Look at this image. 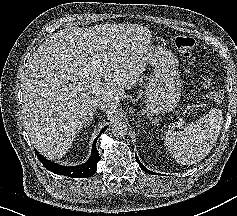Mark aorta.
<instances>
[{"mask_svg": "<svg viewBox=\"0 0 237 216\" xmlns=\"http://www.w3.org/2000/svg\"><path fill=\"white\" fill-rule=\"evenodd\" d=\"M111 132L113 136L117 138H123L128 133V126L125 122L116 120L111 127Z\"/></svg>", "mask_w": 237, "mask_h": 216, "instance_id": "762f6f07", "label": "aorta"}]
</instances>
